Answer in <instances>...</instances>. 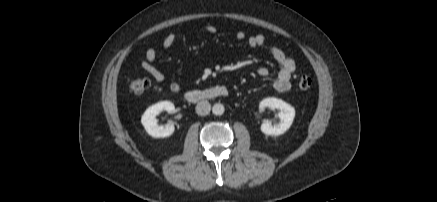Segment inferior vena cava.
<instances>
[{"label":"inferior vena cava","instance_id":"obj_1","mask_svg":"<svg viewBox=\"0 0 437 202\" xmlns=\"http://www.w3.org/2000/svg\"><path fill=\"white\" fill-rule=\"evenodd\" d=\"M196 113L200 116H205L210 113L211 104L208 101H200L196 105Z\"/></svg>","mask_w":437,"mask_h":202}]
</instances>
